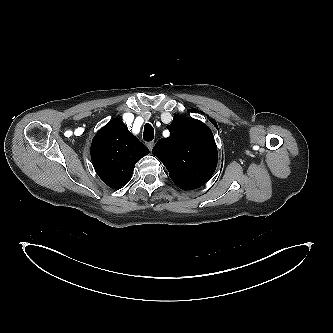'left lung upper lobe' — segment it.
<instances>
[{
  "label": "left lung upper lobe",
  "instance_id": "obj_1",
  "mask_svg": "<svg viewBox=\"0 0 333 333\" xmlns=\"http://www.w3.org/2000/svg\"><path fill=\"white\" fill-rule=\"evenodd\" d=\"M168 138L152 150L169 171L172 181L183 190L205 184L216 170L218 152L211 130L201 121L174 115Z\"/></svg>",
  "mask_w": 333,
  "mask_h": 333
}]
</instances>
